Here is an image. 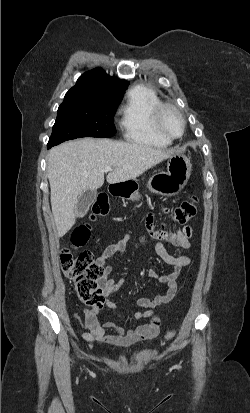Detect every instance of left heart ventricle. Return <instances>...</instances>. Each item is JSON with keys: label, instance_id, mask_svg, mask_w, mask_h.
<instances>
[{"label": "left heart ventricle", "instance_id": "1", "mask_svg": "<svg viewBox=\"0 0 250 413\" xmlns=\"http://www.w3.org/2000/svg\"><path fill=\"white\" fill-rule=\"evenodd\" d=\"M162 124H163L164 129L172 135H179L181 133V130H182L181 121L179 117L171 111H166L163 114Z\"/></svg>", "mask_w": 250, "mask_h": 413}]
</instances>
